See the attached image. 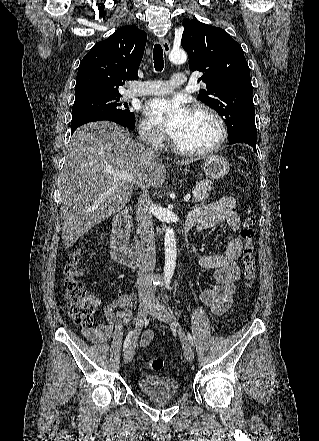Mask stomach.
<instances>
[{
	"instance_id": "stomach-1",
	"label": "stomach",
	"mask_w": 319,
	"mask_h": 441,
	"mask_svg": "<svg viewBox=\"0 0 319 441\" xmlns=\"http://www.w3.org/2000/svg\"><path fill=\"white\" fill-rule=\"evenodd\" d=\"M205 174L213 179L224 177L229 172V163L220 156H209L203 162Z\"/></svg>"
}]
</instances>
